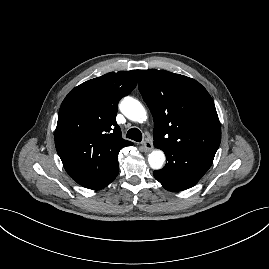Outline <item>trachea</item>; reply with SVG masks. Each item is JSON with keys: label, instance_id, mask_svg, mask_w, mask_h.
<instances>
[{"label": "trachea", "instance_id": "obj_1", "mask_svg": "<svg viewBox=\"0 0 269 269\" xmlns=\"http://www.w3.org/2000/svg\"><path fill=\"white\" fill-rule=\"evenodd\" d=\"M126 138H129V139L134 140L136 142H141L142 141V133L137 128H131L128 130V132L126 134Z\"/></svg>", "mask_w": 269, "mask_h": 269}]
</instances>
